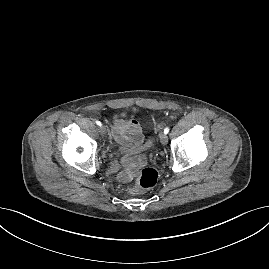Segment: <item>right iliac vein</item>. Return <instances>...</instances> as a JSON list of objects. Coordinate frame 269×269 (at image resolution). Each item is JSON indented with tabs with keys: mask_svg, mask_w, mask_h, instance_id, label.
I'll return each instance as SVG.
<instances>
[{
	"mask_svg": "<svg viewBox=\"0 0 269 269\" xmlns=\"http://www.w3.org/2000/svg\"><path fill=\"white\" fill-rule=\"evenodd\" d=\"M99 132H100V134L101 135H105L106 134V129H105V127L104 126H100V128H99Z\"/></svg>",
	"mask_w": 269,
	"mask_h": 269,
	"instance_id": "1",
	"label": "right iliac vein"
}]
</instances>
